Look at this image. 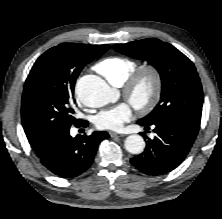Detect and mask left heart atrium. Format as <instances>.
Segmentation results:
<instances>
[{
    "instance_id": "1",
    "label": "left heart atrium",
    "mask_w": 222,
    "mask_h": 219,
    "mask_svg": "<svg viewBox=\"0 0 222 219\" xmlns=\"http://www.w3.org/2000/svg\"><path fill=\"white\" fill-rule=\"evenodd\" d=\"M132 117V108L127 103L118 104L101 111L95 117V125L99 129L119 131Z\"/></svg>"
}]
</instances>
